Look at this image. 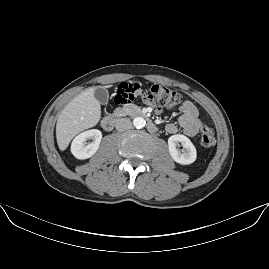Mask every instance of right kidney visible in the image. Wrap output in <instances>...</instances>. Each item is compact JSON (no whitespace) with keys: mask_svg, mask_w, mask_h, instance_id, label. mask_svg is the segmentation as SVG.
<instances>
[{"mask_svg":"<svg viewBox=\"0 0 269 269\" xmlns=\"http://www.w3.org/2000/svg\"><path fill=\"white\" fill-rule=\"evenodd\" d=\"M88 138L92 139L90 143L86 142ZM101 138L102 133L97 129H90L80 133L72 141V154L78 159H84L92 156L98 149Z\"/></svg>","mask_w":269,"mask_h":269,"instance_id":"obj_1","label":"right kidney"}]
</instances>
